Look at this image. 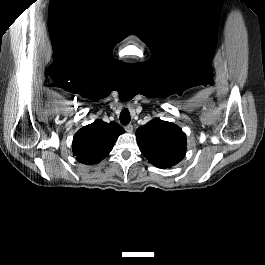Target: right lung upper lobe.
I'll return each mask as SVG.
<instances>
[{
  "instance_id": "obj_1",
  "label": "right lung upper lobe",
  "mask_w": 265,
  "mask_h": 265,
  "mask_svg": "<svg viewBox=\"0 0 265 265\" xmlns=\"http://www.w3.org/2000/svg\"><path fill=\"white\" fill-rule=\"evenodd\" d=\"M124 129L116 122L96 120L84 126L74 135L72 143L76 160L83 164H96L112 150L118 136Z\"/></svg>"
}]
</instances>
